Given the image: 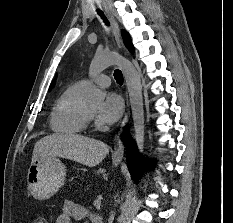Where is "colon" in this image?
<instances>
[{
    "mask_svg": "<svg viewBox=\"0 0 233 223\" xmlns=\"http://www.w3.org/2000/svg\"><path fill=\"white\" fill-rule=\"evenodd\" d=\"M36 223H45L43 220H37Z\"/></svg>",
    "mask_w": 233,
    "mask_h": 223,
    "instance_id": "colon-1",
    "label": "colon"
}]
</instances>
